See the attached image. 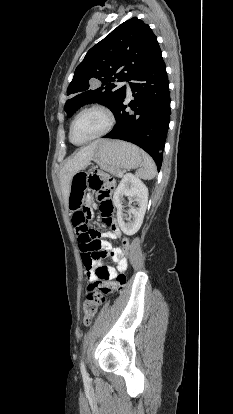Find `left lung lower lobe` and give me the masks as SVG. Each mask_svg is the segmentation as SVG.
I'll return each mask as SVG.
<instances>
[{
	"label": "left lung lower lobe",
	"mask_w": 233,
	"mask_h": 414,
	"mask_svg": "<svg viewBox=\"0 0 233 414\" xmlns=\"http://www.w3.org/2000/svg\"><path fill=\"white\" fill-rule=\"evenodd\" d=\"M134 96L128 106L134 114L125 111V95L113 112L116 125L104 138L120 139L136 144L155 161L158 169L162 158L170 121V93L166 66L161 50L150 64L132 79Z\"/></svg>",
	"instance_id": "obj_1"
}]
</instances>
